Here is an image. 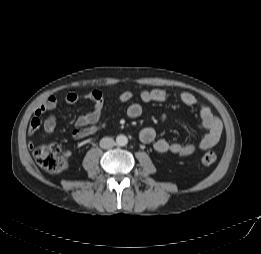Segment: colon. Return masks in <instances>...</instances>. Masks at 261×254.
I'll use <instances>...</instances> for the list:
<instances>
[{
    "instance_id": "5ec220e1",
    "label": "colon",
    "mask_w": 261,
    "mask_h": 254,
    "mask_svg": "<svg viewBox=\"0 0 261 254\" xmlns=\"http://www.w3.org/2000/svg\"><path fill=\"white\" fill-rule=\"evenodd\" d=\"M33 156L37 164L49 173H58L66 167V156L57 144L37 145L33 149ZM216 159V153L209 151L202 156L201 164L208 166L213 164Z\"/></svg>"
}]
</instances>
